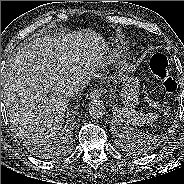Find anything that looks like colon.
<instances>
[{
  "label": "colon",
  "mask_w": 184,
  "mask_h": 184,
  "mask_svg": "<svg viewBox=\"0 0 184 184\" xmlns=\"http://www.w3.org/2000/svg\"><path fill=\"white\" fill-rule=\"evenodd\" d=\"M150 68L153 74L164 82L167 92L175 90V83L168 75V59L163 54H155L150 60Z\"/></svg>",
  "instance_id": "5ec220e1"
}]
</instances>
